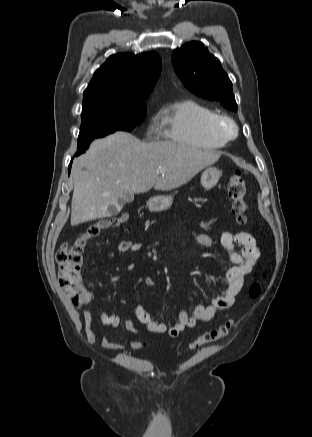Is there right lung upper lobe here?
<instances>
[{
	"mask_svg": "<svg viewBox=\"0 0 312 437\" xmlns=\"http://www.w3.org/2000/svg\"><path fill=\"white\" fill-rule=\"evenodd\" d=\"M160 71L161 59L155 52L112 55L95 71L84 91L83 109H136L146 106L145 101Z\"/></svg>",
	"mask_w": 312,
	"mask_h": 437,
	"instance_id": "cb5924a9",
	"label": "right lung upper lobe"
}]
</instances>
